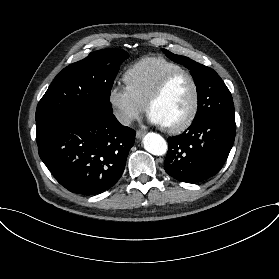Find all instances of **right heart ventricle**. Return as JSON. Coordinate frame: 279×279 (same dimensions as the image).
Listing matches in <instances>:
<instances>
[{"mask_svg":"<svg viewBox=\"0 0 279 279\" xmlns=\"http://www.w3.org/2000/svg\"><path fill=\"white\" fill-rule=\"evenodd\" d=\"M185 70L164 57H146L136 62L125 75L127 84L145 102L162 79L172 72Z\"/></svg>","mask_w":279,"mask_h":279,"instance_id":"right-heart-ventricle-1","label":"right heart ventricle"}]
</instances>
